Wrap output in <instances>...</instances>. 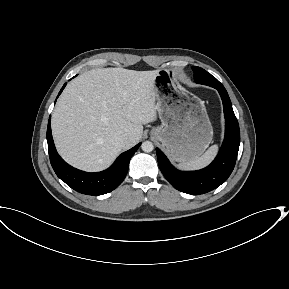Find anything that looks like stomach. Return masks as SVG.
<instances>
[{
  "label": "stomach",
  "mask_w": 289,
  "mask_h": 289,
  "mask_svg": "<svg viewBox=\"0 0 289 289\" xmlns=\"http://www.w3.org/2000/svg\"><path fill=\"white\" fill-rule=\"evenodd\" d=\"M154 96L161 125L151 130L173 161L198 158L209 146L213 129L204 102L187 91L171 70L158 71Z\"/></svg>",
  "instance_id": "obj_1"
}]
</instances>
